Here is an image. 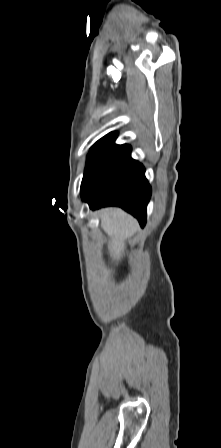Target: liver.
<instances>
[{
  "label": "liver",
  "mask_w": 221,
  "mask_h": 448,
  "mask_svg": "<svg viewBox=\"0 0 221 448\" xmlns=\"http://www.w3.org/2000/svg\"><path fill=\"white\" fill-rule=\"evenodd\" d=\"M101 227L108 235V250L113 262H118L126 248V240L137 230V221L120 208H104L99 211Z\"/></svg>",
  "instance_id": "6515ba94"
}]
</instances>
